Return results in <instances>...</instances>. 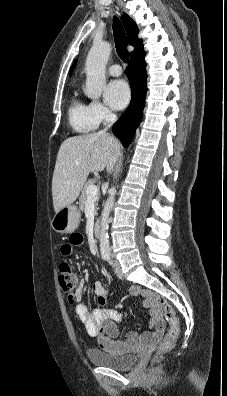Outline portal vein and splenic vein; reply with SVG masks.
<instances>
[{
  "mask_svg": "<svg viewBox=\"0 0 227 396\" xmlns=\"http://www.w3.org/2000/svg\"><path fill=\"white\" fill-rule=\"evenodd\" d=\"M99 188L95 185H90L87 188L88 197H95L98 194Z\"/></svg>",
  "mask_w": 227,
  "mask_h": 396,
  "instance_id": "portal-vein-and-splenic-vein-1",
  "label": "portal vein and splenic vein"
}]
</instances>
